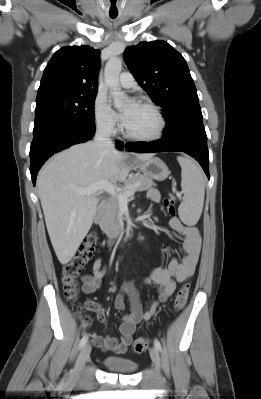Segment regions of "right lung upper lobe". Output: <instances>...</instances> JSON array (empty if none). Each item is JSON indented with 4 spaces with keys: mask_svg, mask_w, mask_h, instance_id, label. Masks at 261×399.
Segmentation results:
<instances>
[{
    "mask_svg": "<svg viewBox=\"0 0 261 399\" xmlns=\"http://www.w3.org/2000/svg\"><path fill=\"white\" fill-rule=\"evenodd\" d=\"M100 51L89 46L59 49L47 64L37 97L68 93L97 94Z\"/></svg>",
    "mask_w": 261,
    "mask_h": 399,
    "instance_id": "right-lung-upper-lobe-1",
    "label": "right lung upper lobe"
}]
</instances>
